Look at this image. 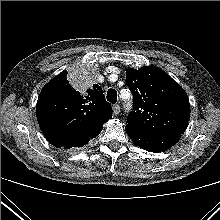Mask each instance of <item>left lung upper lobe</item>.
Instances as JSON below:
<instances>
[{"label": "left lung upper lobe", "mask_w": 220, "mask_h": 220, "mask_svg": "<svg viewBox=\"0 0 220 220\" xmlns=\"http://www.w3.org/2000/svg\"><path fill=\"white\" fill-rule=\"evenodd\" d=\"M126 74L134 97L127 126L147 133L181 135L190 117L185 90L156 66L127 69Z\"/></svg>", "instance_id": "obj_1"}]
</instances>
